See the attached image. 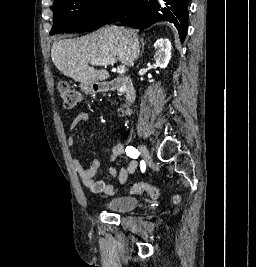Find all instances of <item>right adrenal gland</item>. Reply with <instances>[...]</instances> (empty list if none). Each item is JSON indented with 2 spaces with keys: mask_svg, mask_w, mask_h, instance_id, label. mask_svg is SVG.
<instances>
[{
  "mask_svg": "<svg viewBox=\"0 0 256 267\" xmlns=\"http://www.w3.org/2000/svg\"><path fill=\"white\" fill-rule=\"evenodd\" d=\"M140 42L142 44V52H141V54H143V52L145 50V48H144V46H145L144 38H141Z\"/></svg>",
  "mask_w": 256,
  "mask_h": 267,
  "instance_id": "obj_1",
  "label": "right adrenal gland"
}]
</instances>
